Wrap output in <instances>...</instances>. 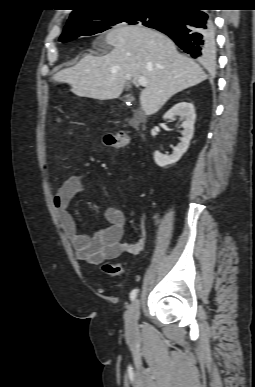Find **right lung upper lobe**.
<instances>
[{"label": "right lung upper lobe", "instance_id": "cb5924a9", "mask_svg": "<svg viewBox=\"0 0 255 387\" xmlns=\"http://www.w3.org/2000/svg\"><path fill=\"white\" fill-rule=\"evenodd\" d=\"M200 0H77V8L71 13L68 22L76 21L88 15L121 6L176 7L197 3Z\"/></svg>", "mask_w": 255, "mask_h": 387}]
</instances>
